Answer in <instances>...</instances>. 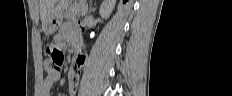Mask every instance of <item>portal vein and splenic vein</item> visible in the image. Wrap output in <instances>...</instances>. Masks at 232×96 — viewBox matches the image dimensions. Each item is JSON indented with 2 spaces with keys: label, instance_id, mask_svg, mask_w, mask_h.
<instances>
[{
  "label": "portal vein and splenic vein",
  "instance_id": "1",
  "mask_svg": "<svg viewBox=\"0 0 232 96\" xmlns=\"http://www.w3.org/2000/svg\"><path fill=\"white\" fill-rule=\"evenodd\" d=\"M86 14V7L83 8L82 15Z\"/></svg>",
  "mask_w": 232,
  "mask_h": 96
}]
</instances>
